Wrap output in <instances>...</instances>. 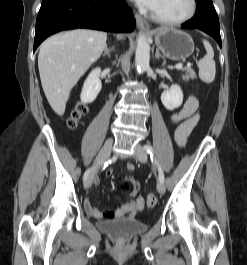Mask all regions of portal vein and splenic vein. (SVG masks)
<instances>
[{"label":"portal vein and splenic vein","mask_w":247,"mask_h":265,"mask_svg":"<svg viewBox=\"0 0 247 265\" xmlns=\"http://www.w3.org/2000/svg\"><path fill=\"white\" fill-rule=\"evenodd\" d=\"M190 66H191V64L188 63V64H187V67H190ZM175 68H176V69H182V64H177V65L175 66Z\"/></svg>","instance_id":"portal-vein-and-splenic-vein-1"}]
</instances>
